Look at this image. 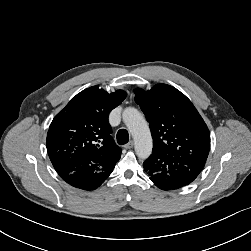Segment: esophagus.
<instances>
[{
	"instance_id": "1",
	"label": "esophagus",
	"mask_w": 251,
	"mask_h": 251,
	"mask_svg": "<svg viewBox=\"0 0 251 251\" xmlns=\"http://www.w3.org/2000/svg\"><path fill=\"white\" fill-rule=\"evenodd\" d=\"M133 146H134V142L133 141H129L124 147L126 149H131V148H133Z\"/></svg>"
}]
</instances>
